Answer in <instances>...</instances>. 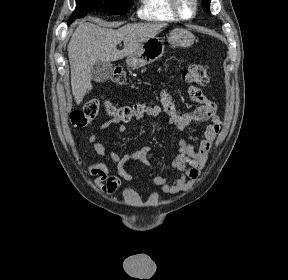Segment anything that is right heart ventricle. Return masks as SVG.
Instances as JSON below:
<instances>
[{"mask_svg":"<svg viewBox=\"0 0 288 280\" xmlns=\"http://www.w3.org/2000/svg\"><path fill=\"white\" fill-rule=\"evenodd\" d=\"M139 18L149 21L172 22L178 20L172 11L170 0H140Z\"/></svg>","mask_w":288,"mask_h":280,"instance_id":"e07e8e85","label":"right heart ventricle"}]
</instances>
